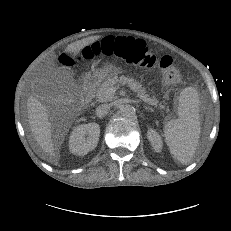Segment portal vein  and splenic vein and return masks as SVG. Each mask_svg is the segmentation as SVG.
<instances>
[{
	"instance_id": "1",
	"label": "portal vein and splenic vein",
	"mask_w": 231,
	"mask_h": 231,
	"mask_svg": "<svg viewBox=\"0 0 231 231\" xmlns=\"http://www.w3.org/2000/svg\"><path fill=\"white\" fill-rule=\"evenodd\" d=\"M112 92H114L115 90L114 89H111Z\"/></svg>"
}]
</instances>
